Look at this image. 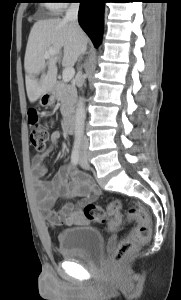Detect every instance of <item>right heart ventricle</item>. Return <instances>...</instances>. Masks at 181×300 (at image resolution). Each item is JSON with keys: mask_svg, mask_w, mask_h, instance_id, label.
Returning a JSON list of instances; mask_svg holds the SVG:
<instances>
[{"mask_svg": "<svg viewBox=\"0 0 181 300\" xmlns=\"http://www.w3.org/2000/svg\"><path fill=\"white\" fill-rule=\"evenodd\" d=\"M47 6L53 13H57L59 11L55 4H48Z\"/></svg>", "mask_w": 181, "mask_h": 300, "instance_id": "obj_1", "label": "right heart ventricle"}]
</instances>
